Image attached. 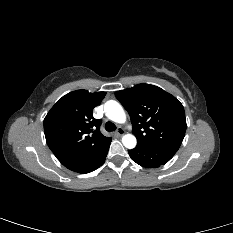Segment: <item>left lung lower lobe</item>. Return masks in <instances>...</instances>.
Instances as JSON below:
<instances>
[{
  "label": "left lung lower lobe",
  "mask_w": 233,
  "mask_h": 233,
  "mask_svg": "<svg viewBox=\"0 0 233 233\" xmlns=\"http://www.w3.org/2000/svg\"><path fill=\"white\" fill-rule=\"evenodd\" d=\"M179 148L172 146H150L137 143L135 149L128 150L131 159L142 167L157 168L166 164Z\"/></svg>",
  "instance_id": "1"
}]
</instances>
